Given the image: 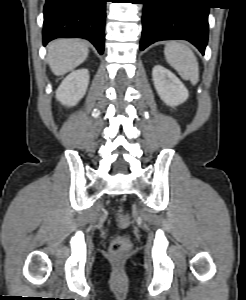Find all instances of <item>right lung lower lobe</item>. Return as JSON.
Returning <instances> with one entry per match:
<instances>
[{"label":"right lung lower lobe","instance_id":"98d812e1","mask_svg":"<svg viewBox=\"0 0 246 300\" xmlns=\"http://www.w3.org/2000/svg\"><path fill=\"white\" fill-rule=\"evenodd\" d=\"M106 0H46L43 44L59 37H79L104 51Z\"/></svg>","mask_w":246,"mask_h":300}]
</instances>
